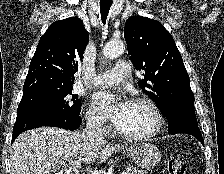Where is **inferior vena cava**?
I'll return each instance as SVG.
<instances>
[{"instance_id":"602c4592","label":"inferior vena cava","mask_w":224,"mask_h":174,"mask_svg":"<svg viewBox=\"0 0 224 174\" xmlns=\"http://www.w3.org/2000/svg\"><path fill=\"white\" fill-rule=\"evenodd\" d=\"M83 134L92 142H105L102 135V122L97 118L87 120L86 128L84 129Z\"/></svg>"}]
</instances>
